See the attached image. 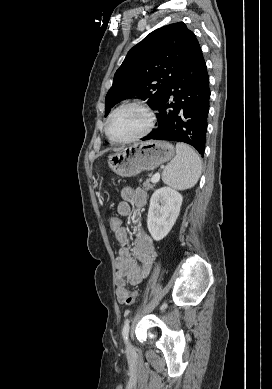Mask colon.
<instances>
[{
  "mask_svg": "<svg viewBox=\"0 0 272 389\" xmlns=\"http://www.w3.org/2000/svg\"><path fill=\"white\" fill-rule=\"evenodd\" d=\"M109 226L110 229L116 233L121 227H122V221L121 218L118 215H113L109 218ZM137 292L133 291L129 293L125 298H124V303L127 305H132L135 303L137 299Z\"/></svg>",
  "mask_w": 272,
  "mask_h": 389,
  "instance_id": "1",
  "label": "colon"
}]
</instances>
